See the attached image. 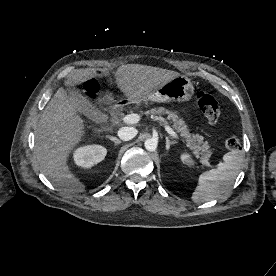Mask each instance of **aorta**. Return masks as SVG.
<instances>
[{"label":"aorta","mask_w":276,"mask_h":276,"mask_svg":"<svg viewBox=\"0 0 276 276\" xmlns=\"http://www.w3.org/2000/svg\"><path fill=\"white\" fill-rule=\"evenodd\" d=\"M145 148L148 151H155L158 145L157 140L153 139V138H149L145 140Z\"/></svg>","instance_id":"aorta-1"}]
</instances>
